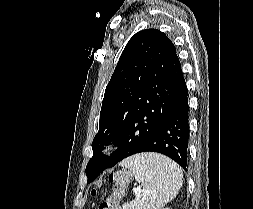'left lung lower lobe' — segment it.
Wrapping results in <instances>:
<instances>
[{"label": "left lung lower lobe", "mask_w": 253, "mask_h": 209, "mask_svg": "<svg viewBox=\"0 0 253 209\" xmlns=\"http://www.w3.org/2000/svg\"><path fill=\"white\" fill-rule=\"evenodd\" d=\"M188 140V89L182 76L181 83L169 111L136 153L158 152L164 154L187 171Z\"/></svg>", "instance_id": "0a47b994"}]
</instances>
